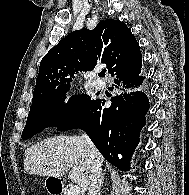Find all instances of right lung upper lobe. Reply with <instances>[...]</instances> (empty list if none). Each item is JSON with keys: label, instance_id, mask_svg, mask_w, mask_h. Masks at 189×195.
I'll list each match as a JSON object with an SVG mask.
<instances>
[{"label": "right lung upper lobe", "instance_id": "cb5924a9", "mask_svg": "<svg viewBox=\"0 0 189 195\" xmlns=\"http://www.w3.org/2000/svg\"><path fill=\"white\" fill-rule=\"evenodd\" d=\"M100 63L111 75L142 66L139 44L123 22L100 21L95 29L73 31L51 48L41 60L32 103L70 88L76 74Z\"/></svg>", "mask_w": 189, "mask_h": 195}]
</instances>
